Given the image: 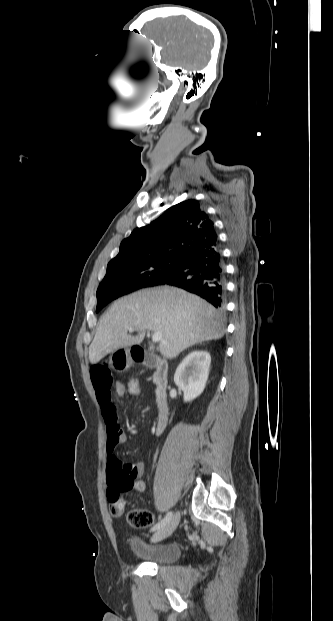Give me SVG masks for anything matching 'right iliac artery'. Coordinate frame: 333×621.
Wrapping results in <instances>:
<instances>
[{"instance_id":"obj_1","label":"right iliac artery","mask_w":333,"mask_h":621,"mask_svg":"<svg viewBox=\"0 0 333 621\" xmlns=\"http://www.w3.org/2000/svg\"><path fill=\"white\" fill-rule=\"evenodd\" d=\"M171 518H172V512H168L167 515L160 522H158L151 528V531H156L160 529L161 527L166 525L171 520Z\"/></svg>"}]
</instances>
